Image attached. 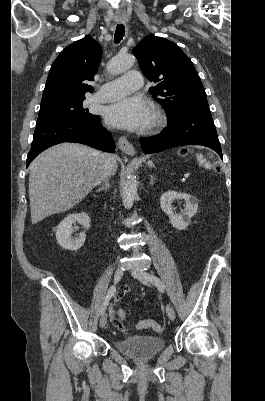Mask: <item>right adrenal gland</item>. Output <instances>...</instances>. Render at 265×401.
Instances as JSON below:
<instances>
[{
    "label": "right adrenal gland",
    "instance_id": "2a0ac1e0",
    "mask_svg": "<svg viewBox=\"0 0 265 401\" xmlns=\"http://www.w3.org/2000/svg\"><path fill=\"white\" fill-rule=\"evenodd\" d=\"M109 186H110L109 178H106L105 184H101V186H99L97 192H100V190H106V192H107Z\"/></svg>",
    "mask_w": 265,
    "mask_h": 401
}]
</instances>
